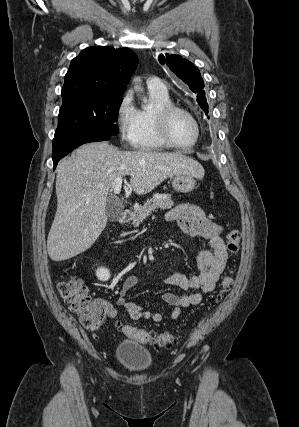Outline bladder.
Returning <instances> with one entry per match:
<instances>
[{
    "label": "bladder",
    "mask_w": 299,
    "mask_h": 427,
    "mask_svg": "<svg viewBox=\"0 0 299 427\" xmlns=\"http://www.w3.org/2000/svg\"><path fill=\"white\" fill-rule=\"evenodd\" d=\"M116 357L121 366L132 373L147 370L152 365L151 352L131 340H121L116 348Z\"/></svg>",
    "instance_id": "31cf9c89"
}]
</instances>
